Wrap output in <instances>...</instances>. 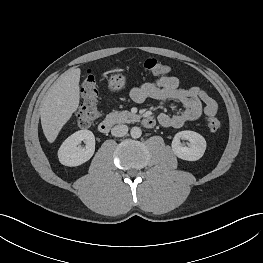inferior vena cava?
<instances>
[{"mask_svg": "<svg viewBox=\"0 0 263 263\" xmlns=\"http://www.w3.org/2000/svg\"><path fill=\"white\" fill-rule=\"evenodd\" d=\"M128 132V126L124 124L116 125L112 128L111 134L116 137H122Z\"/></svg>", "mask_w": 263, "mask_h": 263, "instance_id": "inferior-vena-cava-1", "label": "inferior vena cava"}]
</instances>
